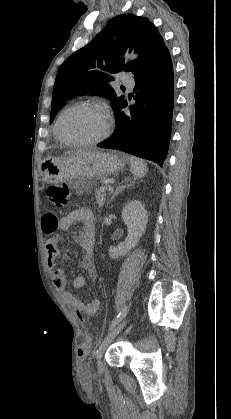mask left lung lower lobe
Segmentation results:
<instances>
[{"instance_id": "0a47b994", "label": "left lung lower lobe", "mask_w": 231, "mask_h": 419, "mask_svg": "<svg viewBox=\"0 0 231 419\" xmlns=\"http://www.w3.org/2000/svg\"><path fill=\"white\" fill-rule=\"evenodd\" d=\"M130 113L125 100L115 112L116 128L101 148H112L154 161L162 166L168 151L174 106V73L169 51L135 77Z\"/></svg>"}]
</instances>
